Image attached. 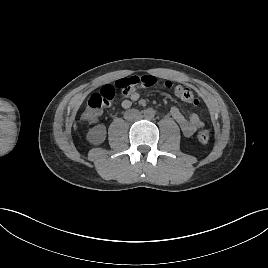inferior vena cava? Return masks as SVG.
I'll return each instance as SVG.
<instances>
[{"instance_id":"obj_1","label":"inferior vena cava","mask_w":268,"mask_h":268,"mask_svg":"<svg viewBox=\"0 0 268 268\" xmlns=\"http://www.w3.org/2000/svg\"><path fill=\"white\" fill-rule=\"evenodd\" d=\"M141 116V113L136 109H129L124 113V118L128 121L138 120Z\"/></svg>"}]
</instances>
